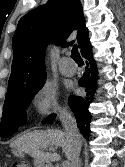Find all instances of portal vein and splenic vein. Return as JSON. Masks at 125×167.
Instances as JSON below:
<instances>
[{
  "instance_id": "portal-vein-and-splenic-vein-1",
  "label": "portal vein and splenic vein",
  "mask_w": 125,
  "mask_h": 167,
  "mask_svg": "<svg viewBox=\"0 0 125 167\" xmlns=\"http://www.w3.org/2000/svg\"><path fill=\"white\" fill-rule=\"evenodd\" d=\"M49 150L54 152L55 148L54 147H49ZM62 167H70V162L69 161L63 162Z\"/></svg>"
}]
</instances>
